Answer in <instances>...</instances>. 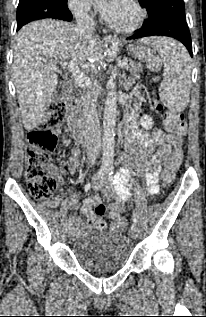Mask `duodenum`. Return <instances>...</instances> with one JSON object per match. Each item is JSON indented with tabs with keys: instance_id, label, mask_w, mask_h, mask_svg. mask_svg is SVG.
I'll return each mask as SVG.
<instances>
[{
	"instance_id": "obj_1",
	"label": "duodenum",
	"mask_w": 206,
	"mask_h": 317,
	"mask_svg": "<svg viewBox=\"0 0 206 317\" xmlns=\"http://www.w3.org/2000/svg\"><path fill=\"white\" fill-rule=\"evenodd\" d=\"M68 124L74 139L81 142H88L90 132L74 107L69 108Z\"/></svg>"
}]
</instances>
